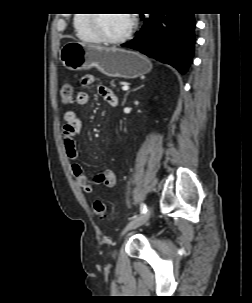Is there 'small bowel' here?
I'll return each mask as SVG.
<instances>
[{"mask_svg":"<svg viewBox=\"0 0 252 303\" xmlns=\"http://www.w3.org/2000/svg\"><path fill=\"white\" fill-rule=\"evenodd\" d=\"M95 82V77L92 74H85L81 78V85L84 87L90 86ZM97 91L100 96L111 106L117 104V97L113 91L104 86L98 85ZM89 101V95L85 91L78 92L75 97V103L78 106L86 105ZM83 131V123L77 116L76 112L72 109L66 110L64 114V126H63V146L66 154L72 160H75L78 156L76 137ZM72 173L80 187L86 192L91 193L93 188L97 184H102L106 188H112L115 186L117 177L112 170H106L94 179H90L83 171L82 167L78 163L72 164Z\"/></svg>","mask_w":252,"mask_h":303,"instance_id":"1","label":"small bowel"}]
</instances>
